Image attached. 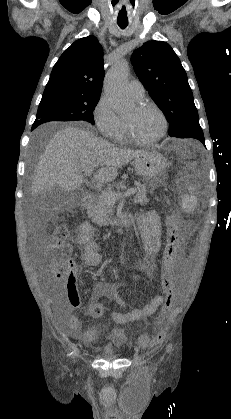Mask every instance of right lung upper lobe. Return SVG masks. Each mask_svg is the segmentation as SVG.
Masks as SVG:
<instances>
[{
    "mask_svg": "<svg viewBox=\"0 0 231 419\" xmlns=\"http://www.w3.org/2000/svg\"><path fill=\"white\" fill-rule=\"evenodd\" d=\"M103 48L94 36L75 41L54 65L46 88L63 87L100 94L104 78Z\"/></svg>",
    "mask_w": 231,
    "mask_h": 419,
    "instance_id": "obj_1",
    "label": "right lung upper lobe"
}]
</instances>
